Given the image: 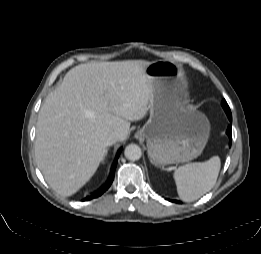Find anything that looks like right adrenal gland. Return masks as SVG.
<instances>
[{
    "mask_svg": "<svg viewBox=\"0 0 261 254\" xmlns=\"http://www.w3.org/2000/svg\"><path fill=\"white\" fill-rule=\"evenodd\" d=\"M107 153H108V150H107V152H106V154H105V157L107 156ZM105 157H104V159H105ZM104 159H103V161H104Z\"/></svg>",
    "mask_w": 261,
    "mask_h": 254,
    "instance_id": "right-adrenal-gland-1",
    "label": "right adrenal gland"
}]
</instances>
